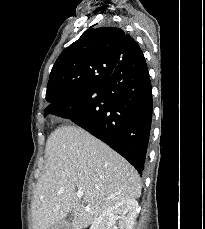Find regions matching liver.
<instances>
[{
	"instance_id": "1",
	"label": "liver",
	"mask_w": 205,
	"mask_h": 229,
	"mask_svg": "<svg viewBox=\"0 0 205 229\" xmlns=\"http://www.w3.org/2000/svg\"><path fill=\"white\" fill-rule=\"evenodd\" d=\"M45 158L32 201L33 229H49L69 213L72 229H84L117 202L141 195L135 168L80 127L52 132ZM77 191L83 192L82 200Z\"/></svg>"
}]
</instances>
